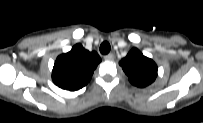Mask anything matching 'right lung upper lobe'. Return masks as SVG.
I'll return each instance as SVG.
<instances>
[{
	"mask_svg": "<svg viewBox=\"0 0 203 123\" xmlns=\"http://www.w3.org/2000/svg\"><path fill=\"white\" fill-rule=\"evenodd\" d=\"M100 62L101 58L96 52H89L81 44H76L71 51L57 57L52 80L62 89L78 90L90 81Z\"/></svg>",
	"mask_w": 203,
	"mask_h": 123,
	"instance_id": "obj_1",
	"label": "right lung upper lobe"
}]
</instances>
